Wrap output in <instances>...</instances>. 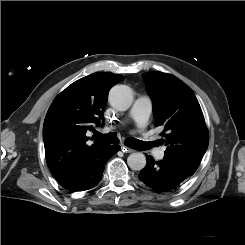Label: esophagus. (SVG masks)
Here are the masks:
<instances>
[{"mask_svg":"<svg viewBox=\"0 0 245 245\" xmlns=\"http://www.w3.org/2000/svg\"><path fill=\"white\" fill-rule=\"evenodd\" d=\"M121 150L124 153H131V152L134 151L133 149H131V148L127 147V146H124V145L121 146Z\"/></svg>","mask_w":245,"mask_h":245,"instance_id":"obj_1","label":"esophagus"}]
</instances>
